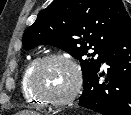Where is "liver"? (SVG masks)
<instances>
[{
  "instance_id": "1",
  "label": "liver",
  "mask_w": 131,
  "mask_h": 115,
  "mask_svg": "<svg viewBox=\"0 0 131 115\" xmlns=\"http://www.w3.org/2000/svg\"><path fill=\"white\" fill-rule=\"evenodd\" d=\"M17 115H39L38 113L36 112H33V111H21L19 112Z\"/></svg>"
}]
</instances>
